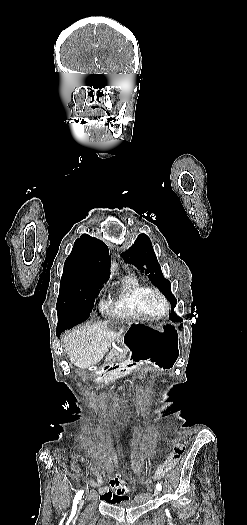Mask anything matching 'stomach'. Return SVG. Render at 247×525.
<instances>
[{
    "instance_id": "obj_1",
    "label": "stomach",
    "mask_w": 247,
    "mask_h": 525,
    "mask_svg": "<svg viewBox=\"0 0 247 525\" xmlns=\"http://www.w3.org/2000/svg\"><path fill=\"white\" fill-rule=\"evenodd\" d=\"M136 361H142L152 368L170 370L179 358L180 335L173 327H156L135 323L127 330L124 338Z\"/></svg>"
}]
</instances>
